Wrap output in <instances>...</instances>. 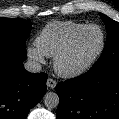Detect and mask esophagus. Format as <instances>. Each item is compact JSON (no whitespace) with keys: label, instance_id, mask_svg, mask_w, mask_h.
Wrapping results in <instances>:
<instances>
[{"label":"esophagus","instance_id":"esophagus-1","mask_svg":"<svg viewBox=\"0 0 119 119\" xmlns=\"http://www.w3.org/2000/svg\"><path fill=\"white\" fill-rule=\"evenodd\" d=\"M46 85H47L48 88L54 89L57 85V82L52 78H48L47 82H46Z\"/></svg>","mask_w":119,"mask_h":119}]
</instances>
